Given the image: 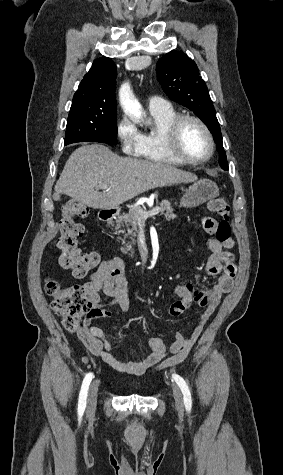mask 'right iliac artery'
Instances as JSON below:
<instances>
[{
	"label": "right iliac artery",
	"instance_id": "obj_1",
	"mask_svg": "<svg viewBox=\"0 0 283 475\" xmlns=\"http://www.w3.org/2000/svg\"><path fill=\"white\" fill-rule=\"evenodd\" d=\"M93 373H88L82 383L81 391L79 394V401H78V414L82 416L86 407V398H87V391L92 381Z\"/></svg>",
	"mask_w": 283,
	"mask_h": 475
}]
</instances>
